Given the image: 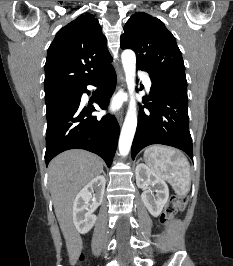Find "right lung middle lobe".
Here are the masks:
<instances>
[{
    "instance_id": "right-lung-middle-lobe-1",
    "label": "right lung middle lobe",
    "mask_w": 233,
    "mask_h": 266,
    "mask_svg": "<svg viewBox=\"0 0 233 266\" xmlns=\"http://www.w3.org/2000/svg\"><path fill=\"white\" fill-rule=\"evenodd\" d=\"M77 93V89L74 90H59L49 93H45V103L47 108L63 101Z\"/></svg>"
}]
</instances>
